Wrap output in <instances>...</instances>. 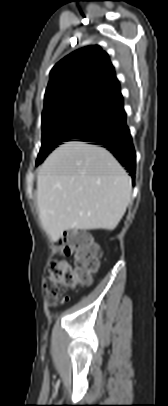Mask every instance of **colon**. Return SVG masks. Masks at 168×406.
Wrapping results in <instances>:
<instances>
[{"mask_svg": "<svg viewBox=\"0 0 168 406\" xmlns=\"http://www.w3.org/2000/svg\"><path fill=\"white\" fill-rule=\"evenodd\" d=\"M58 246L62 255L71 256L72 263L54 260L49 266L45 290L51 303L66 290L91 283L99 267L100 248L92 243L89 236L80 231H66L59 238Z\"/></svg>", "mask_w": 168, "mask_h": 406, "instance_id": "1", "label": "colon"}]
</instances>
